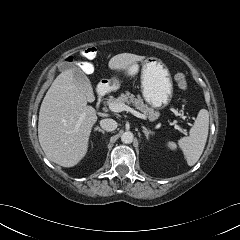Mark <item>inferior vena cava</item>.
Listing matches in <instances>:
<instances>
[{
  "mask_svg": "<svg viewBox=\"0 0 240 240\" xmlns=\"http://www.w3.org/2000/svg\"><path fill=\"white\" fill-rule=\"evenodd\" d=\"M100 126L106 131H114L118 124L115 120L107 118L100 121Z\"/></svg>",
  "mask_w": 240,
  "mask_h": 240,
  "instance_id": "obj_1",
  "label": "inferior vena cava"
}]
</instances>
